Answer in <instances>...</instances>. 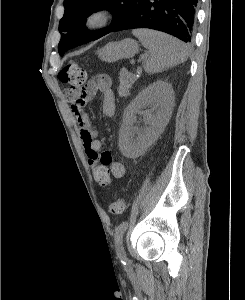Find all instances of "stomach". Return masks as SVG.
<instances>
[{
  "label": "stomach",
  "instance_id": "stomach-1",
  "mask_svg": "<svg viewBox=\"0 0 245 300\" xmlns=\"http://www.w3.org/2000/svg\"><path fill=\"white\" fill-rule=\"evenodd\" d=\"M138 50V43L127 38L119 42L108 43L98 51V57L106 62H115L123 58H132Z\"/></svg>",
  "mask_w": 245,
  "mask_h": 300
}]
</instances>
